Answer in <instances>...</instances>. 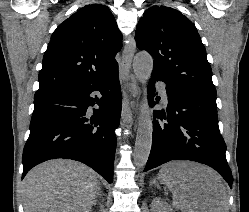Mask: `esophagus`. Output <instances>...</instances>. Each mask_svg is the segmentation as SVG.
<instances>
[{"label": "esophagus", "instance_id": "1", "mask_svg": "<svg viewBox=\"0 0 249 212\" xmlns=\"http://www.w3.org/2000/svg\"><path fill=\"white\" fill-rule=\"evenodd\" d=\"M136 50V43L134 37L130 35L128 43L125 45L122 54L121 76L125 86L131 87L134 79L131 76L130 70L132 59ZM132 123V111L130 108V97H127L122 109V126L128 127Z\"/></svg>", "mask_w": 249, "mask_h": 212}]
</instances>
